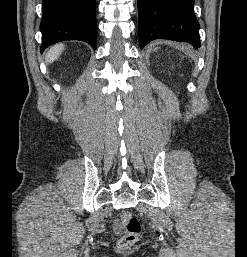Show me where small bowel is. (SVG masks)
<instances>
[{
  "instance_id": "obj_1",
  "label": "small bowel",
  "mask_w": 247,
  "mask_h": 257,
  "mask_svg": "<svg viewBox=\"0 0 247 257\" xmlns=\"http://www.w3.org/2000/svg\"><path fill=\"white\" fill-rule=\"evenodd\" d=\"M115 230L116 232H121L122 231V225L120 222L115 223Z\"/></svg>"
}]
</instances>
